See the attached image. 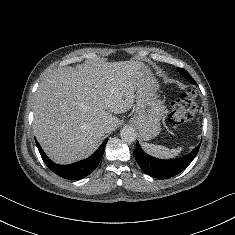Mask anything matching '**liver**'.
Instances as JSON below:
<instances>
[{
    "mask_svg": "<svg viewBox=\"0 0 235 235\" xmlns=\"http://www.w3.org/2000/svg\"><path fill=\"white\" fill-rule=\"evenodd\" d=\"M143 66L139 61L95 62L49 74L33 104V130L49 158L70 164L90 156L119 126L113 114L133 106Z\"/></svg>",
    "mask_w": 235,
    "mask_h": 235,
    "instance_id": "liver-1",
    "label": "liver"
}]
</instances>
